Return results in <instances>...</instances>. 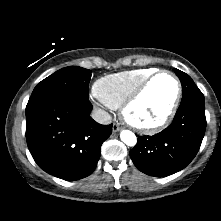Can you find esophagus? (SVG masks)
Instances as JSON below:
<instances>
[{
  "label": "esophagus",
  "instance_id": "34e87169",
  "mask_svg": "<svg viewBox=\"0 0 221 221\" xmlns=\"http://www.w3.org/2000/svg\"><path fill=\"white\" fill-rule=\"evenodd\" d=\"M112 129H113V132H118V131H120L122 128H121V126L119 125V123H114Z\"/></svg>",
  "mask_w": 221,
  "mask_h": 221
}]
</instances>
